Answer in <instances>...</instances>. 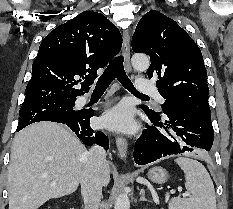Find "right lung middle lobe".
<instances>
[{"instance_id": "1", "label": "right lung middle lobe", "mask_w": 233, "mask_h": 209, "mask_svg": "<svg viewBox=\"0 0 233 209\" xmlns=\"http://www.w3.org/2000/svg\"><path fill=\"white\" fill-rule=\"evenodd\" d=\"M75 99H48L23 103L18 126H27L38 121L63 122L78 116L81 111L73 109Z\"/></svg>"}]
</instances>
